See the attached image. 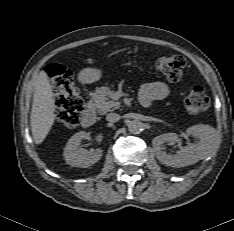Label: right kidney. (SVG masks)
I'll return each instance as SVG.
<instances>
[{"label":"right kidney","instance_id":"right-kidney-1","mask_svg":"<svg viewBox=\"0 0 234 231\" xmlns=\"http://www.w3.org/2000/svg\"><path fill=\"white\" fill-rule=\"evenodd\" d=\"M88 137L85 131H80L69 139L63 154L67 164L72 167L87 168L100 160L103 152L102 149L98 148L88 151L79 146L80 142L83 139H88Z\"/></svg>","mask_w":234,"mask_h":231}]
</instances>
